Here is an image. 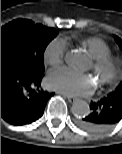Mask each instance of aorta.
Listing matches in <instances>:
<instances>
[{
  "label": "aorta",
  "instance_id": "1",
  "mask_svg": "<svg viewBox=\"0 0 122 154\" xmlns=\"http://www.w3.org/2000/svg\"><path fill=\"white\" fill-rule=\"evenodd\" d=\"M83 59L81 53L77 50H70L65 55V61L68 66L76 67ZM71 111L75 117H84L89 114V104L84 100H77L73 103Z\"/></svg>",
  "mask_w": 122,
  "mask_h": 154
}]
</instances>
